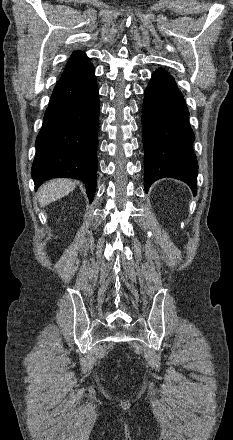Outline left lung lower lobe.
<instances>
[{"label": "left lung lower lobe", "instance_id": "obj_1", "mask_svg": "<svg viewBox=\"0 0 233 440\" xmlns=\"http://www.w3.org/2000/svg\"><path fill=\"white\" fill-rule=\"evenodd\" d=\"M189 111L174 78L159 69L152 74L142 107L145 191L159 178L172 177L197 190V159Z\"/></svg>", "mask_w": 233, "mask_h": 440}]
</instances>
